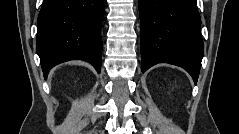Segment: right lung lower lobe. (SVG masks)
<instances>
[{"instance_id":"obj_1","label":"right lung lower lobe","mask_w":239,"mask_h":134,"mask_svg":"<svg viewBox=\"0 0 239 134\" xmlns=\"http://www.w3.org/2000/svg\"><path fill=\"white\" fill-rule=\"evenodd\" d=\"M104 0H43L36 51L44 77L55 65L80 59L101 70Z\"/></svg>"}]
</instances>
